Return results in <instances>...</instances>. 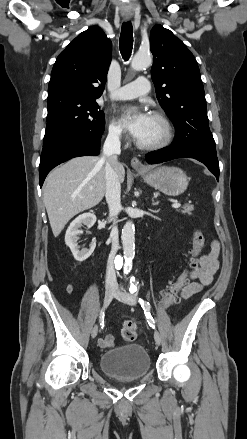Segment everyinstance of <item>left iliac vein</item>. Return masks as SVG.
I'll return each mask as SVG.
<instances>
[{"instance_id":"obj_1","label":"left iliac vein","mask_w":247,"mask_h":439,"mask_svg":"<svg viewBox=\"0 0 247 439\" xmlns=\"http://www.w3.org/2000/svg\"><path fill=\"white\" fill-rule=\"evenodd\" d=\"M115 298L128 305H136V298L123 290L117 289L115 292ZM154 339L156 344H161V336L157 331L154 332Z\"/></svg>"}]
</instances>
